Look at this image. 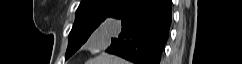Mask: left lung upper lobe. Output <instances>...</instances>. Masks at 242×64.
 Instances as JSON below:
<instances>
[{"mask_svg": "<svg viewBox=\"0 0 242 64\" xmlns=\"http://www.w3.org/2000/svg\"><path fill=\"white\" fill-rule=\"evenodd\" d=\"M125 0H82L75 22L69 34L65 58L75 53L89 38L91 33L105 20L116 7Z\"/></svg>", "mask_w": 242, "mask_h": 64, "instance_id": "obj_1", "label": "left lung upper lobe"}]
</instances>
